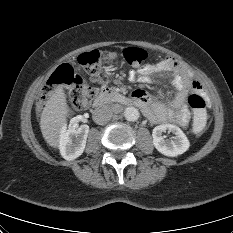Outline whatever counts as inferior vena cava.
Instances as JSON below:
<instances>
[{"label": "inferior vena cava", "mask_w": 233, "mask_h": 233, "mask_svg": "<svg viewBox=\"0 0 233 233\" xmlns=\"http://www.w3.org/2000/svg\"><path fill=\"white\" fill-rule=\"evenodd\" d=\"M113 117V111L109 105L103 104L93 110V120L99 125L108 123Z\"/></svg>", "instance_id": "inferior-vena-cava-1"}]
</instances>
